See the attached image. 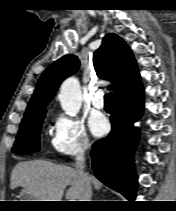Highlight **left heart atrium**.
I'll return each mask as SVG.
<instances>
[{
    "label": "left heart atrium",
    "instance_id": "obj_1",
    "mask_svg": "<svg viewBox=\"0 0 176 211\" xmlns=\"http://www.w3.org/2000/svg\"><path fill=\"white\" fill-rule=\"evenodd\" d=\"M89 127L91 132L97 136H103L109 130V123L102 114H93L89 119Z\"/></svg>",
    "mask_w": 176,
    "mask_h": 211
}]
</instances>
